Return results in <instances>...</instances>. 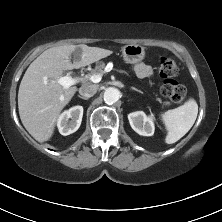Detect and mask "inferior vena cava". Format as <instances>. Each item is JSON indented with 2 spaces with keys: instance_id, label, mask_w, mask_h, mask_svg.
I'll use <instances>...</instances> for the list:
<instances>
[{
  "instance_id": "1",
  "label": "inferior vena cava",
  "mask_w": 222,
  "mask_h": 222,
  "mask_svg": "<svg viewBox=\"0 0 222 222\" xmlns=\"http://www.w3.org/2000/svg\"><path fill=\"white\" fill-rule=\"evenodd\" d=\"M98 86L94 84H83L79 88V93L85 98H90L97 93Z\"/></svg>"
}]
</instances>
